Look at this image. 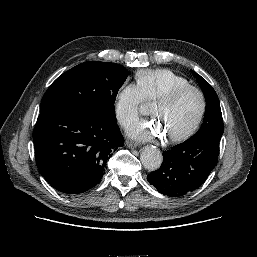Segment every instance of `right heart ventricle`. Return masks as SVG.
<instances>
[{
  "label": "right heart ventricle",
  "instance_id": "obj_1",
  "mask_svg": "<svg viewBox=\"0 0 257 257\" xmlns=\"http://www.w3.org/2000/svg\"><path fill=\"white\" fill-rule=\"evenodd\" d=\"M136 85L142 92L145 101L154 102L169 91L190 85V82L168 69H145L135 75Z\"/></svg>",
  "mask_w": 257,
  "mask_h": 257
}]
</instances>
